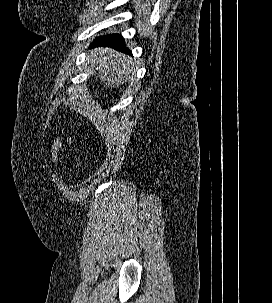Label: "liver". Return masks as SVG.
Returning a JSON list of instances; mask_svg holds the SVG:
<instances>
[{
	"label": "liver",
	"instance_id": "1",
	"mask_svg": "<svg viewBox=\"0 0 272 303\" xmlns=\"http://www.w3.org/2000/svg\"><path fill=\"white\" fill-rule=\"evenodd\" d=\"M97 61L98 76L104 86L111 88L123 84V78L130 72V58L110 48H98L93 51Z\"/></svg>",
	"mask_w": 272,
	"mask_h": 303
}]
</instances>
